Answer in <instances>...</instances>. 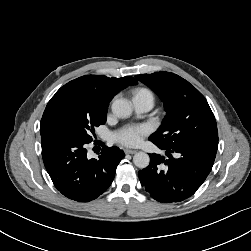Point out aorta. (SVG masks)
I'll return each instance as SVG.
<instances>
[{"label": "aorta", "instance_id": "aorta-1", "mask_svg": "<svg viewBox=\"0 0 251 251\" xmlns=\"http://www.w3.org/2000/svg\"><path fill=\"white\" fill-rule=\"evenodd\" d=\"M112 111L119 118H128L132 114V105L127 99H116L112 103ZM133 162L138 168L144 169L149 165L150 158L147 153L138 152L134 155Z\"/></svg>", "mask_w": 251, "mask_h": 251}]
</instances>
